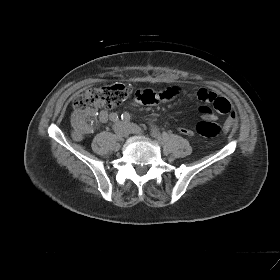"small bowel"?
Listing matches in <instances>:
<instances>
[{"mask_svg": "<svg viewBox=\"0 0 280 280\" xmlns=\"http://www.w3.org/2000/svg\"><path fill=\"white\" fill-rule=\"evenodd\" d=\"M180 93V88L177 86H170L162 90H151V89H141L138 90L135 94V99L140 104L145 105H155L162 102H167L178 96ZM198 99L205 103V105L200 107L201 117L205 120H216L217 116L213 112L212 108L220 113L227 115V119L224 123L225 130H228L236 123V114L232 109L230 102L219 96L214 91L208 89H199L197 92ZM212 106L211 107H209ZM110 118V115L107 111L102 110L99 113V120L101 122H106ZM72 125L74 128L73 138L76 141H81L84 138V135L92 131V127L87 124L83 116L79 112H74L72 115ZM179 132L186 136H193L194 131L190 128H180Z\"/></svg>", "mask_w": 280, "mask_h": 280, "instance_id": "small-bowel-1", "label": "small bowel"}]
</instances>
